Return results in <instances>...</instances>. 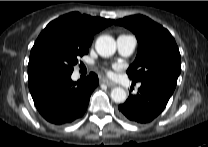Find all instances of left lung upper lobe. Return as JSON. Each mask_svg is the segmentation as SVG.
Here are the masks:
<instances>
[{"instance_id": "left-lung-upper-lobe-1", "label": "left lung upper lobe", "mask_w": 208, "mask_h": 147, "mask_svg": "<svg viewBox=\"0 0 208 147\" xmlns=\"http://www.w3.org/2000/svg\"><path fill=\"white\" fill-rule=\"evenodd\" d=\"M130 29L138 41L135 61L127 70L133 82L160 79L176 87L181 58L170 32L143 15L128 16L115 22Z\"/></svg>"}]
</instances>
